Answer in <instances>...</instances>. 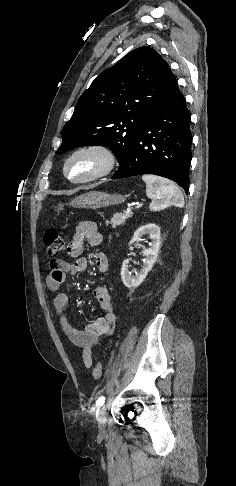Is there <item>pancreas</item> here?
<instances>
[{
  "label": "pancreas",
  "mask_w": 236,
  "mask_h": 486,
  "mask_svg": "<svg viewBox=\"0 0 236 486\" xmlns=\"http://www.w3.org/2000/svg\"><path fill=\"white\" fill-rule=\"evenodd\" d=\"M132 217V213H116L113 215L110 221H106V225L109 223L112 225V228H116V226L123 225L126 219Z\"/></svg>",
  "instance_id": "cf45deb5"
}]
</instances>
